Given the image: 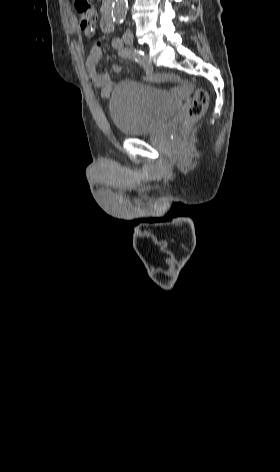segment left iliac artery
Wrapping results in <instances>:
<instances>
[{"label":"left iliac artery","instance_id":"obj_1","mask_svg":"<svg viewBox=\"0 0 280 472\" xmlns=\"http://www.w3.org/2000/svg\"><path fill=\"white\" fill-rule=\"evenodd\" d=\"M113 47L120 49L123 46L122 40L120 38H115L112 42Z\"/></svg>","mask_w":280,"mask_h":472}]
</instances>
